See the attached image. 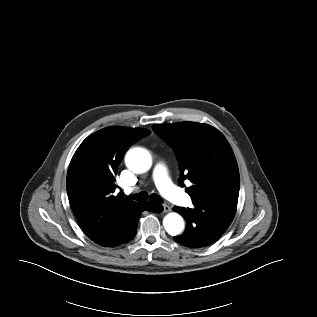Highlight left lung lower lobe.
I'll return each mask as SVG.
<instances>
[{"instance_id": "0a47b994", "label": "left lung lower lobe", "mask_w": 317, "mask_h": 317, "mask_svg": "<svg viewBox=\"0 0 317 317\" xmlns=\"http://www.w3.org/2000/svg\"><path fill=\"white\" fill-rule=\"evenodd\" d=\"M194 209L174 207L186 221L185 232L174 237L179 244L191 248L206 247L217 241L231 224L236 209L205 203L194 204Z\"/></svg>"}]
</instances>
